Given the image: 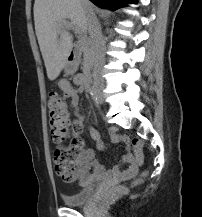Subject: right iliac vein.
Masks as SVG:
<instances>
[{
	"label": "right iliac vein",
	"instance_id": "obj_1",
	"mask_svg": "<svg viewBox=\"0 0 202 217\" xmlns=\"http://www.w3.org/2000/svg\"><path fill=\"white\" fill-rule=\"evenodd\" d=\"M97 100L102 103L103 102V96L101 94H98L97 95Z\"/></svg>",
	"mask_w": 202,
	"mask_h": 217
}]
</instances>
